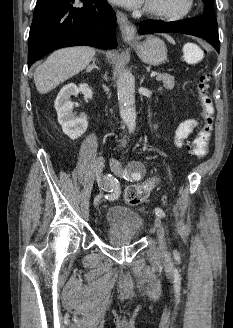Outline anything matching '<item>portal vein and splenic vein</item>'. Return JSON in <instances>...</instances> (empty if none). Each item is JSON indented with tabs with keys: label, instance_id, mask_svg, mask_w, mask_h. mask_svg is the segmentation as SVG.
Instances as JSON below:
<instances>
[{
	"label": "portal vein and splenic vein",
	"instance_id": "18ae733b",
	"mask_svg": "<svg viewBox=\"0 0 233 328\" xmlns=\"http://www.w3.org/2000/svg\"><path fill=\"white\" fill-rule=\"evenodd\" d=\"M158 73L157 72H152L151 77H155Z\"/></svg>",
	"mask_w": 233,
	"mask_h": 328
}]
</instances>
